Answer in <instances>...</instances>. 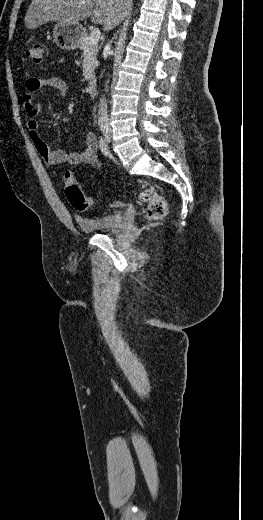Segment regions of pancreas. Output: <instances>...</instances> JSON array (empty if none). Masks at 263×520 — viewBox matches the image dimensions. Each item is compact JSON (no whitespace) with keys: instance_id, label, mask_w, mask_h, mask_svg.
Segmentation results:
<instances>
[{"instance_id":"1","label":"pancreas","mask_w":263,"mask_h":520,"mask_svg":"<svg viewBox=\"0 0 263 520\" xmlns=\"http://www.w3.org/2000/svg\"><path fill=\"white\" fill-rule=\"evenodd\" d=\"M89 35H84L79 44V48L83 51V62H82V68H83V76L86 81L93 80L95 78L94 69L98 65V51L99 47L98 45H91L89 43Z\"/></svg>"}]
</instances>
